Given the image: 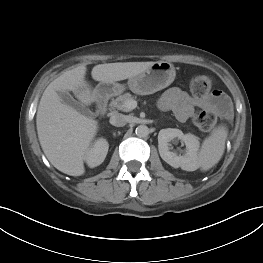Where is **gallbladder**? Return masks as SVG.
I'll list each match as a JSON object with an SVG mask.
<instances>
[{
  "mask_svg": "<svg viewBox=\"0 0 263 263\" xmlns=\"http://www.w3.org/2000/svg\"><path fill=\"white\" fill-rule=\"evenodd\" d=\"M59 98L61 102L67 106L72 107L76 111L83 113L85 115L89 114V109L86 108L82 103L78 102L73 98V96L67 91H59L58 92Z\"/></svg>",
  "mask_w": 263,
  "mask_h": 263,
  "instance_id": "obj_1",
  "label": "gallbladder"
}]
</instances>
